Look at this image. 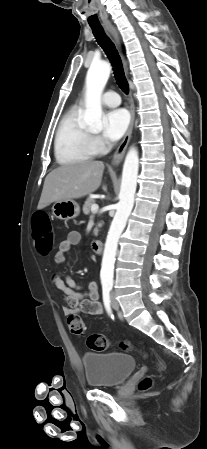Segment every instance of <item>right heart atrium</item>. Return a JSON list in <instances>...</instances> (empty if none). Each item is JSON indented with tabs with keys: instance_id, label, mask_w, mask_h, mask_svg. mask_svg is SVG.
Returning a JSON list of instances; mask_svg holds the SVG:
<instances>
[{
	"instance_id": "1",
	"label": "right heart atrium",
	"mask_w": 207,
	"mask_h": 449,
	"mask_svg": "<svg viewBox=\"0 0 207 449\" xmlns=\"http://www.w3.org/2000/svg\"><path fill=\"white\" fill-rule=\"evenodd\" d=\"M92 143L96 151H102L105 147L104 142L98 136L92 137Z\"/></svg>"
}]
</instances>
